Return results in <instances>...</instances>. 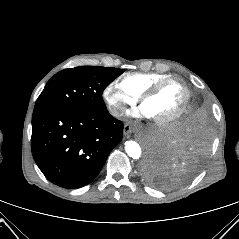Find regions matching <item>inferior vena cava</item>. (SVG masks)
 <instances>
[{"label": "inferior vena cava", "instance_id": "obj_1", "mask_svg": "<svg viewBox=\"0 0 239 239\" xmlns=\"http://www.w3.org/2000/svg\"><path fill=\"white\" fill-rule=\"evenodd\" d=\"M125 107H113L110 108V114L113 115L114 117H120L124 114Z\"/></svg>", "mask_w": 239, "mask_h": 239}]
</instances>
